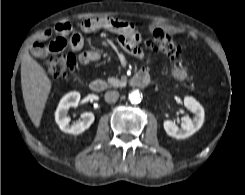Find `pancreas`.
Segmentation results:
<instances>
[{
  "label": "pancreas",
  "mask_w": 245,
  "mask_h": 195,
  "mask_svg": "<svg viewBox=\"0 0 245 195\" xmlns=\"http://www.w3.org/2000/svg\"><path fill=\"white\" fill-rule=\"evenodd\" d=\"M107 81H108L110 86H113L115 88L123 86L124 84H126V78L119 80L118 78L109 77Z\"/></svg>",
  "instance_id": "obj_1"
}]
</instances>
